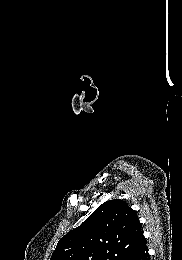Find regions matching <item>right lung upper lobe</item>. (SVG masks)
Returning a JSON list of instances; mask_svg holds the SVG:
<instances>
[{
  "mask_svg": "<svg viewBox=\"0 0 182 260\" xmlns=\"http://www.w3.org/2000/svg\"><path fill=\"white\" fill-rule=\"evenodd\" d=\"M145 241L135 210L114 199L63 236L50 260H123Z\"/></svg>",
  "mask_w": 182,
  "mask_h": 260,
  "instance_id": "obj_1",
  "label": "right lung upper lobe"
}]
</instances>
